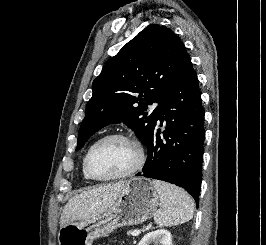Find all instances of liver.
<instances>
[{"label": "liver", "instance_id": "obj_1", "mask_svg": "<svg viewBox=\"0 0 266 245\" xmlns=\"http://www.w3.org/2000/svg\"><path fill=\"white\" fill-rule=\"evenodd\" d=\"M125 185L127 181L99 185V187H92L90 191H83L80 195L72 197L64 207L63 215L60 217V227L70 225L74 221H86V219H92L108 211L109 207L117 201Z\"/></svg>", "mask_w": 266, "mask_h": 245}]
</instances>
